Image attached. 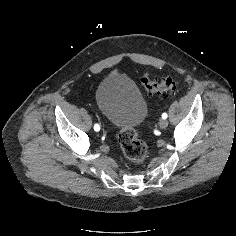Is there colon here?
I'll use <instances>...</instances> for the list:
<instances>
[{
    "mask_svg": "<svg viewBox=\"0 0 236 236\" xmlns=\"http://www.w3.org/2000/svg\"><path fill=\"white\" fill-rule=\"evenodd\" d=\"M140 83L148 93L159 95L171 92L176 87L175 80L170 76L156 79L145 75L140 79ZM118 141L123 154L128 160L135 164L145 161L148 149L146 144L138 138L134 128L121 130Z\"/></svg>",
    "mask_w": 236,
    "mask_h": 236,
    "instance_id": "1",
    "label": "colon"
}]
</instances>
